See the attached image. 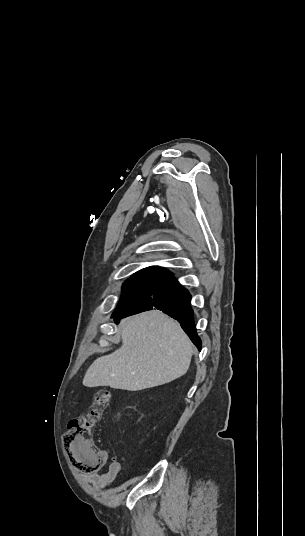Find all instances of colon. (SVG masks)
Returning <instances> with one entry per match:
<instances>
[{"label": "colon", "mask_w": 305, "mask_h": 536, "mask_svg": "<svg viewBox=\"0 0 305 536\" xmlns=\"http://www.w3.org/2000/svg\"><path fill=\"white\" fill-rule=\"evenodd\" d=\"M109 400V391H97L87 413L71 421L68 434L61 436L62 450L67 454L71 471H107L108 462L103 460L101 448L94 444L90 435L101 421Z\"/></svg>", "instance_id": "obj_1"}]
</instances>
